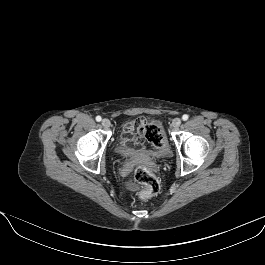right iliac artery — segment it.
<instances>
[{
	"label": "right iliac artery",
	"instance_id": "82829eb1",
	"mask_svg": "<svg viewBox=\"0 0 265 265\" xmlns=\"http://www.w3.org/2000/svg\"><path fill=\"white\" fill-rule=\"evenodd\" d=\"M101 119H102V118H101L100 116H97V117H96V121H97V122H100Z\"/></svg>",
	"mask_w": 265,
	"mask_h": 265
}]
</instances>
